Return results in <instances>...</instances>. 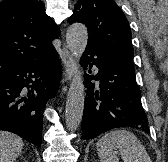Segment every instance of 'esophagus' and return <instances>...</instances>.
Returning <instances> with one entry per match:
<instances>
[{"label":"esophagus","instance_id":"obj_1","mask_svg":"<svg viewBox=\"0 0 168 162\" xmlns=\"http://www.w3.org/2000/svg\"><path fill=\"white\" fill-rule=\"evenodd\" d=\"M64 55H65V78L64 82L69 81L72 78V75L75 70V61L70 55L69 51L66 47H63ZM63 90H66V87H63Z\"/></svg>","mask_w":168,"mask_h":162}]
</instances>
